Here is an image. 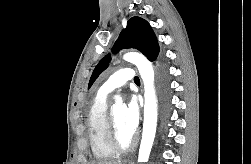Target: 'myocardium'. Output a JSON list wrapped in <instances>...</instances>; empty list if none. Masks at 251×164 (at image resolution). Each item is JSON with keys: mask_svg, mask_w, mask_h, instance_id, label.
I'll return each instance as SVG.
<instances>
[{"mask_svg": "<svg viewBox=\"0 0 251 164\" xmlns=\"http://www.w3.org/2000/svg\"><path fill=\"white\" fill-rule=\"evenodd\" d=\"M108 133L110 143L116 152H128L136 146L138 141L137 136L133 134L128 143H122L112 110L108 111Z\"/></svg>", "mask_w": 251, "mask_h": 164, "instance_id": "1", "label": "myocardium"}]
</instances>
